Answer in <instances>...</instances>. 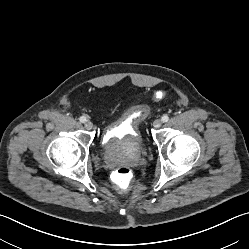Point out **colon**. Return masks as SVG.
<instances>
[{
    "label": "colon",
    "mask_w": 249,
    "mask_h": 249,
    "mask_svg": "<svg viewBox=\"0 0 249 249\" xmlns=\"http://www.w3.org/2000/svg\"><path fill=\"white\" fill-rule=\"evenodd\" d=\"M163 97H164L163 91H158L156 93L157 99H162ZM112 180L117 188L126 189L133 180V172L127 166L118 167L112 175Z\"/></svg>",
    "instance_id": "5ec220e1"
}]
</instances>
